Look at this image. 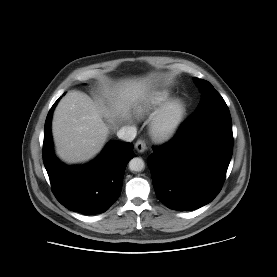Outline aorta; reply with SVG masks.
I'll return each instance as SVG.
<instances>
[{
  "label": "aorta",
  "instance_id": "762f6f07",
  "mask_svg": "<svg viewBox=\"0 0 277 277\" xmlns=\"http://www.w3.org/2000/svg\"><path fill=\"white\" fill-rule=\"evenodd\" d=\"M145 168V164L142 158L135 157L129 162V169L133 172H140Z\"/></svg>",
  "mask_w": 277,
  "mask_h": 277
}]
</instances>
